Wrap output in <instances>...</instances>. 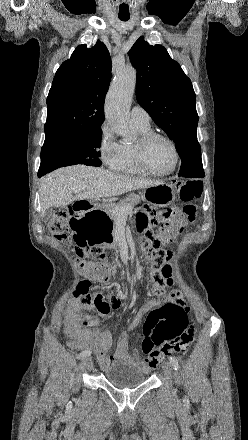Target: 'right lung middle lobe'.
Returning <instances> with one entry per match:
<instances>
[{
  "label": "right lung middle lobe",
  "mask_w": 248,
  "mask_h": 440,
  "mask_svg": "<svg viewBox=\"0 0 248 440\" xmlns=\"http://www.w3.org/2000/svg\"><path fill=\"white\" fill-rule=\"evenodd\" d=\"M101 127L81 134L45 139L41 151L38 175H45L57 168L75 164L100 166Z\"/></svg>",
  "instance_id": "obj_1"
}]
</instances>
